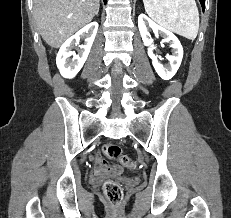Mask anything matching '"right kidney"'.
I'll return each instance as SVG.
<instances>
[{
    "instance_id": "obj_1",
    "label": "right kidney",
    "mask_w": 231,
    "mask_h": 218,
    "mask_svg": "<svg viewBox=\"0 0 231 218\" xmlns=\"http://www.w3.org/2000/svg\"><path fill=\"white\" fill-rule=\"evenodd\" d=\"M97 30L98 23L91 22L79 30L75 35L71 36L61 46L56 57V64L63 77L73 78L81 70L89 55ZM84 36L86 37L85 43L84 45L79 46L80 50H78V53L76 54L72 49L74 48V45L79 43L80 38Z\"/></svg>"
}]
</instances>
